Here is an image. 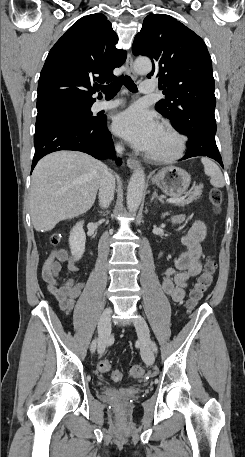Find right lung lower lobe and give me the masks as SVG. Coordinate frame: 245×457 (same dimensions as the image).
<instances>
[{"mask_svg": "<svg viewBox=\"0 0 245 457\" xmlns=\"http://www.w3.org/2000/svg\"><path fill=\"white\" fill-rule=\"evenodd\" d=\"M34 146L32 170L43 156L59 150L82 151L97 159L115 156L106 116L63 113L41 117L35 124ZM116 162L121 164L120 159Z\"/></svg>", "mask_w": 245, "mask_h": 457, "instance_id": "98d812e1", "label": "right lung lower lobe"}]
</instances>
